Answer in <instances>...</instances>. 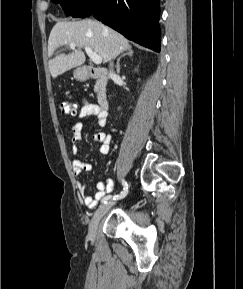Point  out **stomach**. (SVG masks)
Instances as JSON below:
<instances>
[{
	"instance_id": "0dacf381",
	"label": "stomach",
	"mask_w": 243,
	"mask_h": 289,
	"mask_svg": "<svg viewBox=\"0 0 243 289\" xmlns=\"http://www.w3.org/2000/svg\"><path fill=\"white\" fill-rule=\"evenodd\" d=\"M74 77L77 80L84 81L87 79V73L83 69L78 68L74 71Z\"/></svg>"
}]
</instances>
